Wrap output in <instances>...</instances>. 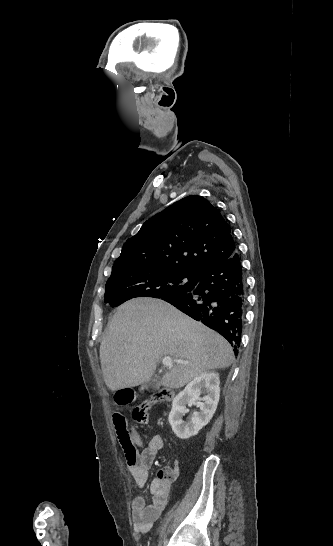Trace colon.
Returning <instances> with one entry per match:
<instances>
[{
    "label": "colon",
    "instance_id": "1",
    "mask_svg": "<svg viewBox=\"0 0 333 546\" xmlns=\"http://www.w3.org/2000/svg\"><path fill=\"white\" fill-rule=\"evenodd\" d=\"M134 393L132 391H121L116 396V401L120 405H128L134 401ZM173 398V392L168 389L157 391L150 398L142 401L135 407L133 416L134 419L142 425L148 423V411L157 402L170 401ZM113 424L117 439L126 459L133 460L137 455V448L133 443L130 433L127 429L126 419L120 413L113 414Z\"/></svg>",
    "mask_w": 333,
    "mask_h": 546
}]
</instances>
